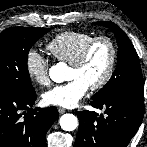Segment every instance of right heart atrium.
Listing matches in <instances>:
<instances>
[{"label":"right heart atrium","instance_id":"d8ad5b80","mask_svg":"<svg viewBox=\"0 0 147 147\" xmlns=\"http://www.w3.org/2000/svg\"><path fill=\"white\" fill-rule=\"evenodd\" d=\"M25 70L29 78L40 86L50 83L48 62L45 57L35 49H30L25 56Z\"/></svg>","mask_w":147,"mask_h":147}]
</instances>
